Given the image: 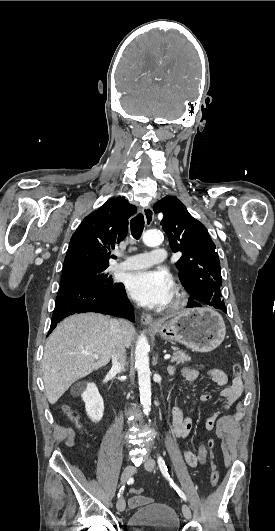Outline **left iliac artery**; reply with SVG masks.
Segmentation results:
<instances>
[{
	"mask_svg": "<svg viewBox=\"0 0 275 531\" xmlns=\"http://www.w3.org/2000/svg\"><path fill=\"white\" fill-rule=\"evenodd\" d=\"M157 462H158V465H159V468H160V471L161 473L163 474V476L169 481L170 485L176 490V492L178 493V495L184 500L186 501L187 498L184 494V492L174 483V481L170 478L169 474H168V469H167V466L165 464V461L164 459L159 455L158 458H157Z\"/></svg>",
	"mask_w": 275,
	"mask_h": 531,
	"instance_id": "left-iliac-artery-1",
	"label": "left iliac artery"
}]
</instances>
